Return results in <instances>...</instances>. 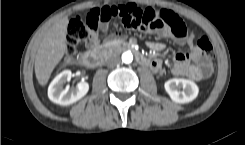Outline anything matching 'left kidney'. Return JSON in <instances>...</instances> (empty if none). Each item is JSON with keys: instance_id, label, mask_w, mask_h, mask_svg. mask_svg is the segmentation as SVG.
I'll use <instances>...</instances> for the list:
<instances>
[{"instance_id": "5707ae66", "label": "left kidney", "mask_w": 245, "mask_h": 145, "mask_svg": "<svg viewBox=\"0 0 245 145\" xmlns=\"http://www.w3.org/2000/svg\"><path fill=\"white\" fill-rule=\"evenodd\" d=\"M165 90L176 103H188L193 101L199 92L198 86L186 79H170L165 82ZM183 89L182 91L180 89Z\"/></svg>"}]
</instances>
